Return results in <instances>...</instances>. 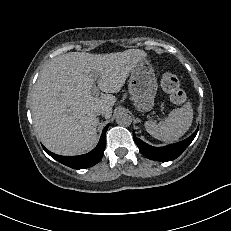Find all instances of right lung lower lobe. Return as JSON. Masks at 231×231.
Returning <instances> with one entry per match:
<instances>
[{"label": "right lung lower lobe", "mask_w": 231, "mask_h": 231, "mask_svg": "<svg viewBox=\"0 0 231 231\" xmlns=\"http://www.w3.org/2000/svg\"><path fill=\"white\" fill-rule=\"evenodd\" d=\"M109 127V124L103 129L101 138L99 140V143L97 146L89 153L84 154V155H79V156H60L56 155L49 150H47L45 147L44 150L55 160L58 162L74 168V169H84L91 167L95 164H97L101 158L104 155V150H105V135L106 131Z\"/></svg>", "instance_id": "right-lung-lower-lobe-1"}]
</instances>
